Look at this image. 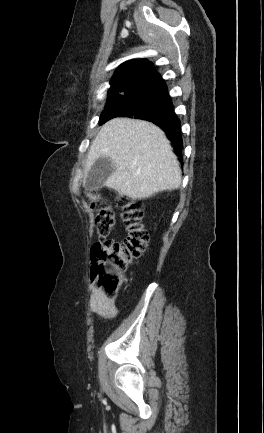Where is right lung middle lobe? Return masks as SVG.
<instances>
[{
  "instance_id": "1",
  "label": "right lung middle lobe",
  "mask_w": 264,
  "mask_h": 433,
  "mask_svg": "<svg viewBox=\"0 0 264 433\" xmlns=\"http://www.w3.org/2000/svg\"><path fill=\"white\" fill-rule=\"evenodd\" d=\"M141 88L131 89L116 97H109L107 105L101 114L100 125L117 116H126L132 110V104L140 96Z\"/></svg>"
}]
</instances>
